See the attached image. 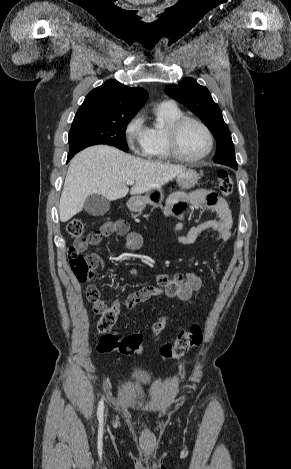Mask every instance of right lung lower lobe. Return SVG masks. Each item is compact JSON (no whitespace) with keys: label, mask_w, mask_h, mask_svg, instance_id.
Instances as JSON below:
<instances>
[{"label":"right lung lower lobe","mask_w":291,"mask_h":469,"mask_svg":"<svg viewBox=\"0 0 291 469\" xmlns=\"http://www.w3.org/2000/svg\"><path fill=\"white\" fill-rule=\"evenodd\" d=\"M76 153H72V154H68V157H67V162L70 161V159L75 155Z\"/></svg>","instance_id":"right-lung-lower-lobe-1"}]
</instances>
